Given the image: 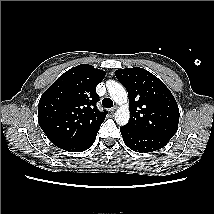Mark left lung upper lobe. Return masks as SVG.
<instances>
[{"label":"left lung upper lobe","instance_id":"1","mask_svg":"<svg viewBox=\"0 0 214 214\" xmlns=\"http://www.w3.org/2000/svg\"><path fill=\"white\" fill-rule=\"evenodd\" d=\"M115 76L129 97L130 119L125 127L170 140L177 132L180 115L165 84L139 67L116 70Z\"/></svg>","mask_w":214,"mask_h":214}]
</instances>
